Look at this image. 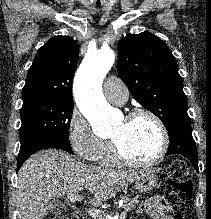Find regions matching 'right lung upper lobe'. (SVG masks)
<instances>
[{
	"instance_id": "1",
	"label": "right lung upper lobe",
	"mask_w": 211,
	"mask_h": 219,
	"mask_svg": "<svg viewBox=\"0 0 211 219\" xmlns=\"http://www.w3.org/2000/svg\"><path fill=\"white\" fill-rule=\"evenodd\" d=\"M78 53L77 43L69 36L48 40L29 69L22 89L23 101L43 98L73 103L72 80Z\"/></svg>"
}]
</instances>
